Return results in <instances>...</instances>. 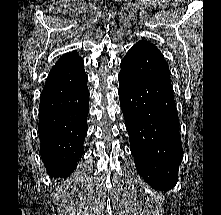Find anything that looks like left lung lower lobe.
<instances>
[{
	"label": "left lung lower lobe",
	"instance_id": "0a47b994",
	"mask_svg": "<svg viewBox=\"0 0 221 215\" xmlns=\"http://www.w3.org/2000/svg\"><path fill=\"white\" fill-rule=\"evenodd\" d=\"M119 98L140 176L168 190L183 157L170 72L161 53L136 43L121 61Z\"/></svg>",
	"mask_w": 221,
	"mask_h": 215
}]
</instances>
